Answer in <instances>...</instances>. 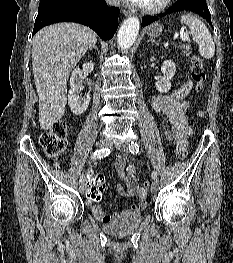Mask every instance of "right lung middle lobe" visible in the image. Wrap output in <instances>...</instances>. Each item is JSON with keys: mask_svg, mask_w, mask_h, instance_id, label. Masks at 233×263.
<instances>
[{"mask_svg": "<svg viewBox=\"0 0 233 263\" xmlns=\"http://www.w3.org/2000/svg\"><path fill=\"white\" fill-rule=\"evenodd\" d=\"M79 0H40L38 15L56 8H74Z\"/></svg>", "mask_w": 233, "mask_h": 263, "instance_id": "right-lung-middle-lobe-1", "label": "right lung middle lobe"}]
</instances>
